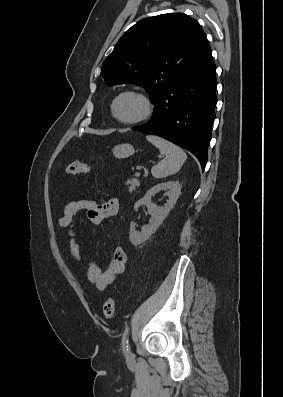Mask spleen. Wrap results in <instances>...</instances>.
Instances as JSON below:
<instances>
[{
    "label": "spleen",
    "mask_w": 283,
    "mask_h": 397,
    "mask_svg": "<svg viewBox=\"0 0 283 397\" xmlns=\"http://www.w3.org/2000/svg\"><path fill=\"white\" fill-rule=\"evenodd\" d=\"M146 139L165 156L163 160L152 167V175L161 179L177 173L187 159L186 153L180 147L158 136L149 135L146 136Z\"/></svg>",
    "instance_id": "1"
}]
</instances>
